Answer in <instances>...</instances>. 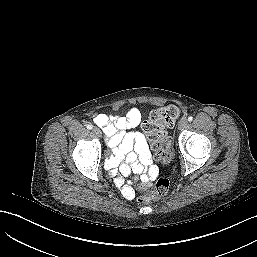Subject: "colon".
I'll return each instance as SVG.
<instances>
[{"mask_svg": "<svg viewBox=\"0 0 257 257\" xmlns=\"http://www.w3.org/2000/svg\"><path fill=\"white\" fill-rule=\"evenodd\" d=\"M179 115L180 110L177 106H164L154 110L143 125L156 158L163 163L170 160L171 143L165 128L173 126ZM169 188L170 182L166 178H159L155 183L145 182L140 185L142 196L139 202L147 203L164 196Z\"/></svg>", "mask_w": 257, "mask_h": 257, "instance_id": "1", "label": "colon"}]
</instances>
